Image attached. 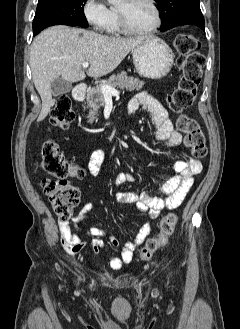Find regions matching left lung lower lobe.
I'll return each instance as SVG.
<instances>
[{
	"label": "left lung lower lobe",
	"instance_id": "0a47b994",
	"mask_svg": "<svg viewBox=\"0 0 240 329\" xmlns=\"http://www.w3.org/2000/svg\"><path fill=\"white\" fill-rule=\"evenodd\" d=\"M183 25H188V24H183ZM193 25L199 26L200 28H202L203 30H205L204 25H197V24H193ZM177 26H182V25H177Z\"/></svg>",
	"mask_w": 240,
	"mask_h": 329
}]
</instances>
